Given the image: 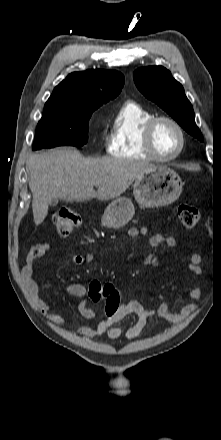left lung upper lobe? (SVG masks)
<instances>
[{"mask_svg": "<svg viewBox=\"0 0 221 440\" xmlns=\"http://www.w3.org/2000/svg\"><path fill=\"white\" fill-rule=\"evenodd\" d=\"M133 78L146 98L165 110L189 134L203 141L195 123L193 107L183 86L172 77L170 71L162 66L142 67L134 72Z\"/></svg>", "mask_w": 221, "mask_h": 440, "instance_id": "left-lung-upper-lobe-1", "label": "left lung upper lobe"}]
</instances>
